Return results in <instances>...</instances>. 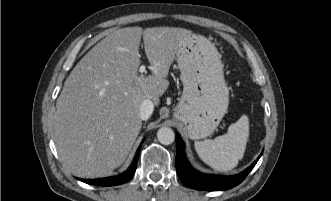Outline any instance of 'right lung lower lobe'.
<instances>
[{
    "instance_id": "1",
    "label": "right lung lower lobe",
    "mask_w": 331,
    "mask_h": 201,
    "mask_svg": "<svg viewBox=\"0 0 331 201\" xmlns=\"http://www.w3.org/2000/svg\"><path fill=\"white\" fill-rule=\"evenodd\" d=\"M139 153H140V148H138L134 160L132 162V165L129 167V169L118 176L101 178V179H92V180H85V179H79V180L87 184L98 185V186H115V185L123 184L128 180H130L134 175L139 158Z\"/></svg>"
}]
</instances>
